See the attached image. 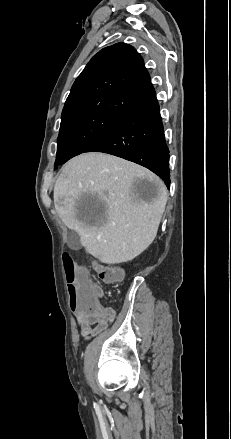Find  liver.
Returning <instances> with one entry per match:
<instances>
[{"mask_svg": "<svg viewBox=\"0 0 231 439\" xmlns=\"http://www.w3.org/2000/svg\"><path fill=\"white\" fill-rule=\"evenodd\" d=\"M141 178L154 186L148 196L138 187ZM53 197L58 216L79 235L86 253L102 263L117 264L133 260L153 242L167 189L145 167L93 152L76 156L62 167ZM85 197L96 201L92 210L81 209Z\"/></svg>", "mask_w": 231, "mask_h": 439, "instance_id": "1", "label": "liver"}]
</instances>
